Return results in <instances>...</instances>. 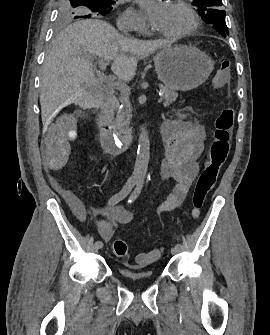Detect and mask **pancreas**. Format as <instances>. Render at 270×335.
I'll use <instances>...</instances> for the list:
<instances>
[{"instance_id": "obj_1", "label": "pancreas", "mask_w": 270, "mask_h": 335, "mask_svg": "<svg viewBox=\"0 0 270 335\" xmlns=\"http://www.w3.org/2000/svg\"><path fill=\"white\" fill-rule=\"evenodd\" d=\"M160 90H162L164 96H162L164 102L163 106L164 108H168L172 102H175L176 98H178L177 92H174V90H168V88H164V86H161L159 84ZM131 120V110H124V112H119L116 122H115V130L116 132H119V134H125V132H128L129 126Z\"/></svg>"}]
</instances>
